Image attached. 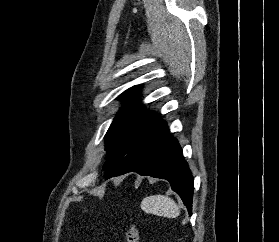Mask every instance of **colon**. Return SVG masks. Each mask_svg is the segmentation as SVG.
<instances>
[{"label":"colon","mask_w":279,"mask_h":242,"mask_svg":"<svg viewBox=\"0 0 279 242\" xmlns=\"http://www.w3.org/2000/svg\"><path fill=\"white\" fill-rule=\"evenodd\" d=\"M127 242H140L138 229L134 226H130L125 231Z\"/></svg>","instance_id":"obj_1"}]
</instances>
